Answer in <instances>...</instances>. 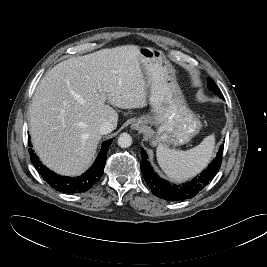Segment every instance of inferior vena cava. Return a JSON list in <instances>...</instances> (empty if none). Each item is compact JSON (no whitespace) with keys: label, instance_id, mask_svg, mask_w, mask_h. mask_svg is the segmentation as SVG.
<instances>
[{"label":"inferior vena cava","instance_id":"inferior-vena-cava-1","mask_svg":"<svg viewBox=\"0 0 267 267\" xmlns=\"http://www.w3.org/2000/svg\"><path fill=\"white\" fill-rule=\"evenodd\" d=\"M99 130L102 135L108 134L114 130V125L111 122L106 121L102 123Z\"/></svg>","mask_w":267,"mask_h":267}]
</instances>
